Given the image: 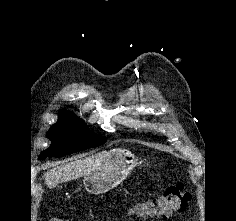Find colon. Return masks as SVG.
I'll return each mask as SVG.
<instances>
[{"instance_id": "colon-1", "label": "colon", "mask_w": 236, "mask_h": 221, "mask_svg": "<svg viewBox=\"0 0 236 221\" xmlns=\"http://www.w3.org/2000/svg\"><path fill=\"white\" fill-rule=\"evenodd\" d=\"M191 194L179 183L170 186L163 195L135 204L132 213L138 218H166L185 209ZM49 221H73L68 218H53Z\"/></svg>"}]
</instances>
